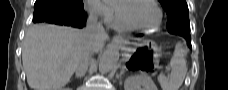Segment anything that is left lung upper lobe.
<instances>
[{"instance_id": "left-lung-upper-lobe-1", "label": "left lung upper lobe", "mask_w": 228, "mask_h": 90, "mask_svg": "<svg viewBox=\"0 0 228 90\" xmlns=\"http://www.w3.org/2000/svg\"><path fill=\"white\" fill-rule=\"evenodd\" d=\"M167 13L168 30L190 32L189 10L185 0H159Z\"/></svg>"}]
</instances>
